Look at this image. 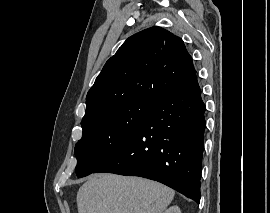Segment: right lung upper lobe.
Returning a JSON list of instances; mask_svg holds the SVG:
<instances>
[{"label": "right lung upper lobe", "instance_id": "right-lung-upper-lobe-1", "mask_svg": "<svg viewBox=\"0 0 270 213\" xmlns=\"http://www.w3.org/2000/svg\"><path fill=\"white\" fill-rule=\"evenodd\" d=\"M196 74L178 36L151 27L129 37L104 65L86 97L82 122L126 103H158Z\"/></svg>", "mask_w": 270, "mask_h": 213}]
</instances>
